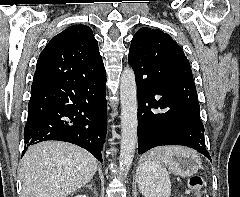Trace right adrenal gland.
I'll list each match as a JSON object with an SVG mask.
<instances>
[{
    "instance_id": "obj_1",
    "label": "right adrenal gland",
    "mask_w": 240,
    "mask_h": 197,
    "mask_svg": "<svg viewBox=\"0 0 240 197\" xmlns=\"http://www.w3.org/2000/svg\"><path fill=\"white\" fill-rule=\"evenodd\" d=\"M92 186H93V183H90V184L86 185L85 187L92 190ZM94 193H96V191H94Z\"/></svg>"
}]
</instances>
